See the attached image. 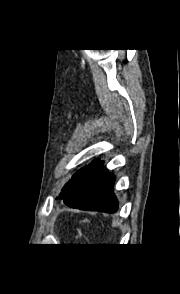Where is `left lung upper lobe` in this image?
Returning a JSON list of instances; mask_svg holds the SVG:
<instances>
[{"instance_id": "5c2ea615", "label": "left lung upper lobe", "mask_w": 180, "mask_h": 294, "mask_svg": "<svg viewBox=\"0 0 180 294\" xmlns=\"http://www.w3.org/2000/svg\"><path fill=\"white\" fill-rule=\"evenodd\" d=\"M84 169H81L79 170L76 174H74L72 176V179L63 187L60 195H59V199H63L67 193L69 192V190L71 189V186L73 184V182L75 181V179L81 174V172L83 171Z\"/></svg>"}]
</instances>
